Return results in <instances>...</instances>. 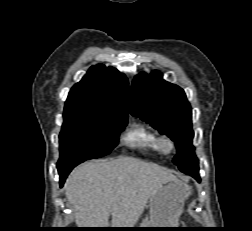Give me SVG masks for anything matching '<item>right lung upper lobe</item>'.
I'll return each mask as SVG.
<instances>
[{
    "mask_svg": "<svg viewBox=\"0 0 252 231\" xmlns=\"http://www.w3.org/2000/svg\"><path fill=\"white\" fill-rule=\"evenodd\" d=\"M127 97L126 77L113 67L98 64L72 87L64 110L81 109L127 116Z\"/></svg>",
    "mask_w": 252,
    "mask_h": 231,
    "instance_id": "right-lung-upper-lobe-1",
    "label": "right lung upper lobe"
}]
</instances>
